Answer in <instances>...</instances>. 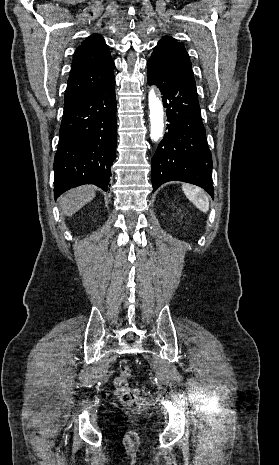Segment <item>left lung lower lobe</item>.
<instances>
[{
	"instance_id": "0a47b994",
	"label": "left lung lower lobe",
	"mask_w": 279,
	"mask_h": 465,
	"mask_svg": "<svg viewBox=\"0 0 279 465\" xmlns=\"http://www.w3.org/2000/svg\"><path fill=\"white\" fill-rule=\"evenodd\" d=\"M147 68L148 83L160 89L169 122L152 158L153 191L177 180L200 186L213 197L212 156L193 72L152 57Z\"/></svg>"
}]
</instances>
